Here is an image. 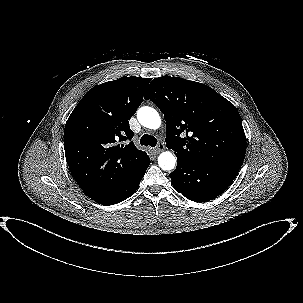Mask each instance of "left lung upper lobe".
<instances>
[{
    "instance_id": "left-lung-upper-lobe-1",
    "label": "left lung upper lobe",
    "mask_w": 303,
    "mask_h": 303,
    "mask_svg": "<svg viewBox=\"0 0 303 303\" xmlns=\"http://www.w3.org/2000/svg\"><path fill=\"white\" fill-rule=\"evenodd\" d=\"M146 99L166 121V146L176 156L199 162L242 165L246 136L236 107L212 88L183 78L152 80Z\"/></svg>"
}]
</instances>
